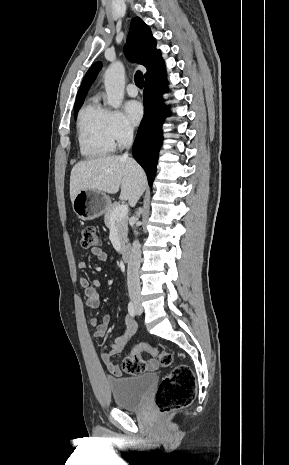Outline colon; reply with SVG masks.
Returning a JSON list of instances; mask_svg holds the SVG:
<instances>
[{
  "mask_svg": "<svg viewBox=\"0 0 289 465\" xmlns=\"http://www.w3.org/2000/svg\"><path fill=\"white\" fill-rule=\"evenodd\" d=\"M100 239L93 226L86 225L80 229L79 244L83 249H94L99 246ZM154 352V349L145 343L137 345L123 360V368L130 373H140L144 369L142 352ZM173 356L170 353L161 355L163 366H170ZM196 391V379L191 368L185 364L175 366L160 382L156 395L155 404L161 414H167L190 405Z\"/></svg>",
  "mask_w": 289,
  "mask_h": 465,
  "instance_id": "colon-1",
  "label": "colon"
}]
</instances>
